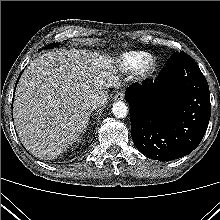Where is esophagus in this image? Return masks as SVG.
I'll return each mask as SVG.
<instances>
[{"label": "esophagus", "instance_id": "34e87169", "mask_svg": "<svg viewBox=\"0 0 220 220\" xmlns=\"http://www.w3.org/2000/svg\"><path fill=\"white\" fill-rule=\"evenodd\" d=\"M124 98V92L123 91H119L115 94L114 99L115 100H122Z\"/></svg>", "mask_w": 220, "mask_h": 220}]
</instances>
